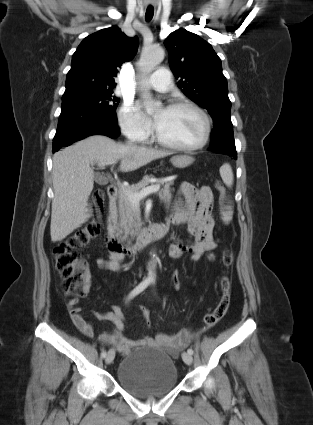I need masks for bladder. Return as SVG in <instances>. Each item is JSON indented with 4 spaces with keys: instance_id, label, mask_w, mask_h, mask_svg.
<instances>
[{
    "instance_id": "obj_1",
    "label": "bladder",
    "mask_w": 313,
    "mask_h": 425,
    "mask_svg": "<svg viewBox=\"0 0 313 425\" xmlns=\"http://www.w3.org/2000/svg\"><path fill=\"white\" fill-rule=\"evenodd\" d=\"M116 376L125 391L141 399L163 396L178 382L177 368L169 352L150 346L126 355L119 363Z\"/></svg>"
}]
</instances>
